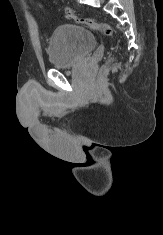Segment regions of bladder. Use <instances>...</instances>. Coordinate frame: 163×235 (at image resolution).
<instances>
[{
    "label": "bladder",
    "instance_id": "bladder-1",
    "mask_svg": "<svg viewBox=\"0 0 163 235\" xmlns=\"http://www.w3.org/2000/svg\"><path fill=\"white\" fill-rule=\"evenodd\" d=\"M96 46V37L89 28L79 24H64L53 31L48 56L54 67L67 68L89 55Z\"/></svg>",
    "mask_w": 163,
    "mask_h": 235
}]
</instances>
